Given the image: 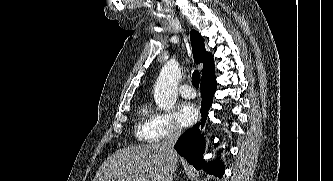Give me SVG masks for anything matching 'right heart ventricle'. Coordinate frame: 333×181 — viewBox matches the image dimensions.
Masks as SVG:
<instances>
[{
  "instance_id": "right-heart-ventricle-1",
  "label": "right heart ventricle",
  "mask_w": 333,
  "mask_h": 181,
  "mask_svg": "<svg viewBox=\"0 0 333 181\" xmlns=\"http://www.w3.org/2000/svg\"><path fill=\"white\" fill-rule=\"evenodd\" d=\"M155 112L148 103H143L138 109V124L136 136L139 140L153 142L155 141L152 133V121Z\"/></svg>"
}]
</instances>
